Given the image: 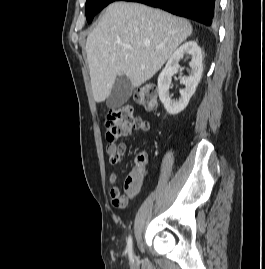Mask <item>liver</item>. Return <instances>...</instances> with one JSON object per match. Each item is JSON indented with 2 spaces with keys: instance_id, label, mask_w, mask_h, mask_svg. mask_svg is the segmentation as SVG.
I'll use <instances>...</instances> for the list:
<instances>
[{
  "instance_id": "obj_1",
  "label": "liver",
  "mask_w": 265,
  "mask_h": 269,
  "mask_svg": "<svg viewBox=\"0 0 265 269\" xmlns=\"http://www.w3.org/2000/svg\"><path fill=\"white\" fill-rule=\"evenodd\" d=\"M186 19L126 2L110 4L86 40L91 86L96 102L111 93L117 77L133 87L151 79L192 33ZM132 46L128 50L126 46Z\"/></svg>"
}]
</instances>
